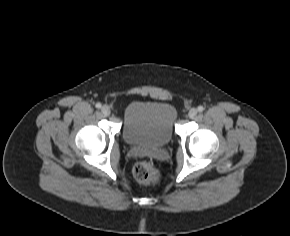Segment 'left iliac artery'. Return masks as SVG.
I'll return each mask as SVG.
<instances>
[{"label": "left iliac artery", "instance_id": "44dca946", "mask_svg": "<svg viewBox=\"0 0 290 236\" xmlns=\"http://www.w3.org/2000/svg\"><path fill=\"white\" fill-rule=\"evenodd\" d=\"M204 109H205V108H204L203 106H199V107H198V111H199V112H203Z\"/></svg>", "mask_w": 290, "mask_h": 236}]
</instances>
